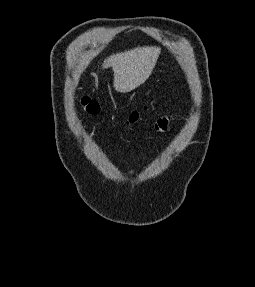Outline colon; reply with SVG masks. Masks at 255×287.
Returning a JSON list of instances; mask_svg holds the SVG:
<instances>
[{
	"mask_svg": "<svg viewBox=\"0 0 255 287\" xmlns=\"http://www.w3.org/2000/svg\"><path fill=\"white\" fill-rule=\"evenodd\" d=\"M81 106L83 110L90 115H95L99 112L98 103L89 97H83L81 99ZM139 115L140 113L138 111L132 112L128 117V120H127L128 123L133 124L137 122V120L139 119Z\"/></svg>",
	"mask_w": 255,
	"mask_h": 287,
	"instance_id": "1",
	"label": "colon"
}]
</instances>
